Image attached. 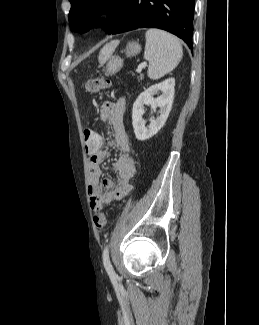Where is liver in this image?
<instances>
[{"instance_id": "obj_1", "label": "liver", "mask_w": 259, "mask_h": 325, "mask_svg": "<svg viewBox=\"0 0 259 325\" xmlns=\"http://www.w3.org/2000/svg\"><path fill=\"white\" fill-rule=\"evenodd\" d=\"M117 45H118V41L114 40V41H111V42L107 43L101 49V51L99 53V57H98V60H99L100 64L105 63L110 58L111 54L114 52Z\"/></svg>"}]
</instances>
